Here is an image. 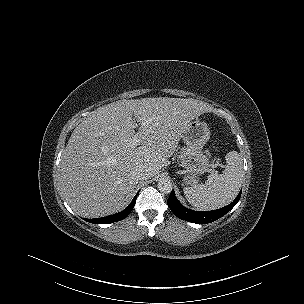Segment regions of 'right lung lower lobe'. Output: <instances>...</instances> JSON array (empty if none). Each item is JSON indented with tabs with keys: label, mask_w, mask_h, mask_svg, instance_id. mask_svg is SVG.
<instances>
[{
	"label": "right lung lower lobe",
	"mask_w": 304,
	"mask_h": 304,
	"mask_svg": "<svg viewBox=\"0 0 304 304\" xmlns=\"http://www.w3.org/2000/svg\"><path fill=\"white\" fill-rule=\"evenodd\" d=\"M137 195L138 194H136V196L133 198V200L129 204V206L120 213L110 215V216H107V217H102V218L84 219V220H86L87 222H90V223H94V224H108V223H113V222H116V221H120V220L126 218L129 215V213L132 211V209H133V207L136 203Z\"/></svg>",
	"instance_id": "right-lung-lower-lobe-1"
}]
</instances>
